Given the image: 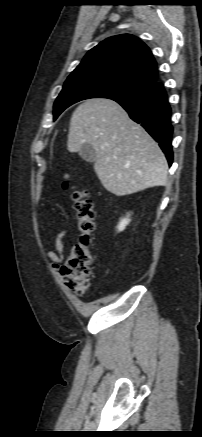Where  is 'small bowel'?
Wrapping results in <instances>:
<instances>
[{
    "label": "small bowel",
    "instance_id": "small-bowel-1",
    "mask_svg": "<svg viewBox=\"0 0 202 437\" xmlns=\"http://www.w3.org/2000/svg\"><path fill=\"white\" fill-rule=\"evenodd\" d=\"M66 235V229L59 231L55 237L54 250H50L46 253L47 257L51 262V267L55 271H58L60 269V264L63 260L64 238Z\"/></svg>",
    "mask_w": 202,
    "mask_h": 437
}]
</instances>
